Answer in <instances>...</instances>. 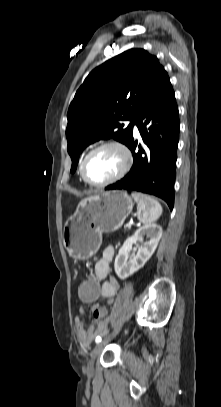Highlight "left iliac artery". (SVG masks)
<instances>
[{"label": "left iliac artery", "mask_w": 221, "mask_h": 407, "mask_svg": "<svg viewBox=\"0 0 221 407\" xmlns=\"http://www.w3.org/2000/svg\"><path fill=\"white\" fill-rule=\"evenodd\" d=\"M96 342L98 343V342H101V337H97L96 338Z\"/></svg>", "instance_id": "left-iliac-artery-1"}]
</instances>
